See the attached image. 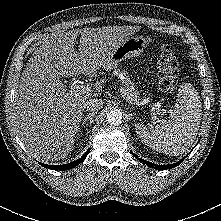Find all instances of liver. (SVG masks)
Instances as JSON below:
<instances>
[{
	"label": "liver",
	"instance_id": "6515ba94",
	"mask_svg": "<svg viewBox=\"0 0 221 221\" xmlns=\"http://www.w3.org/2000/svg\"><path fill=\"white\" fill-rule=\"evenodd\" d=\"M135 27H102L71 30L45 40L32 54L15 94L14 125L30 154L40 161L65 158L73 149L85 102L95 93L79 94L66 89L60 77L96 76L111 53ZM80 36L79 53L74 45Z\"/></svg>",
	"mask_w": 221,
	"mask_h": 221
}]
</instances>
